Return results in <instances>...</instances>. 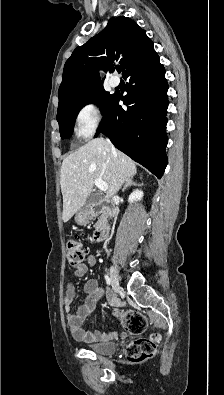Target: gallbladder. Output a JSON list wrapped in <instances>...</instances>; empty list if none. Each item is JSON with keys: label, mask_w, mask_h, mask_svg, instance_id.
<instances>
[{"label": "gallbladder", "mask_w": 224, "mask_h": 395, "mask_svg": "<svg viewBox=\"0 0 224 395\" xmlns=\"http://www.w3.org/2000/svg\"><path fill=\"white\" fill-rule=\"evenodd\" d=\"M99 201V197L96 196L95 194L90 195L87 200H86V204H93Z\"/></svg>", "instance_id": "gallbladder-1"}]
</instances>
